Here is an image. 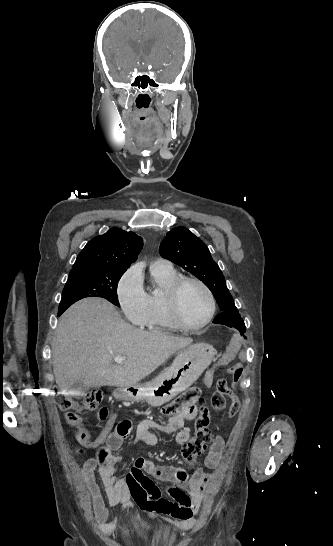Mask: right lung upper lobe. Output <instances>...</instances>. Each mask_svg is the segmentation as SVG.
I'll return each instance as SVG.
<instances>
[{"label": "right lung upper lobe", "instance_id": "1", "mask_svg": "<svg viewBox=\"0 0 333 546\" xmlns=\"http://www.w3.org/2000/svg\"><path fill=\"white\" fill-rule=\"evenodd\" d=\"M142 247L143 239L134 232L111 228L86 244L69 275L83 273L93 267L127 270L136 261Z\"/></svg>", "mask_w": 333, "mask_h": 546}]
</instances>
